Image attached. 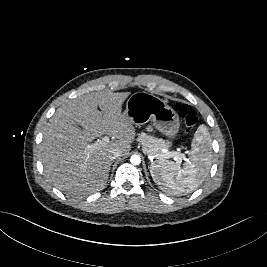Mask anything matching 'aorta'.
I'll use <instances>...</instances> for the list:
<instances>
[{"instance_id": "obj_1", "label": "aorta", "mask_w": 267, "mask_h": 267, "mask_svg": "<svg viewBox=\"0 0 267 267\" xmlns=\"http://www.w3.org/2000/svg\"><path fill=\"white\" fill-rule=\"evenodd\" d=\"M130 162L134 165H139L141 163V158L139 155H132L130 158Z\"/></svg>"}]
</instances>
